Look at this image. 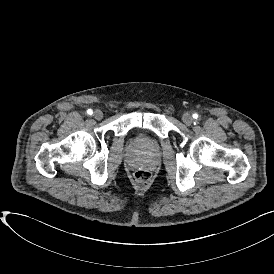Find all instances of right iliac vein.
I'll use <instances>...</instances> for the list:
<instances>
[{
  "label": "right iliac vein",
  "mask_w": 274,
  "mask_h": 274,
  "mask_svg": "<svg viewBox=\"0 0 274 274\" xmlns=\"http://www.w3.org/2000/svg\"><path fill=\"white\" fill-rule=\"evenodd\" d=\"M93 117L96 120H101L103 118V112L101 110H95L93 113Z\"/></svg>",
  "instance_id": "obj_1"
}]
</instances>
